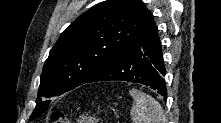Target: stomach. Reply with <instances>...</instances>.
I'll use <instances>...</instances> for the list:
<instances>
[{
  "instance_id": "1",
  "label": "stomach",
  "mask_w": 221,
  "mask_h": 123,
  "mask_svg": "<svg viewBox=\"0 0 221 123\" xmlns=\"http://www.w3.org/2000/svg\"><path fill=\"white\" fill-rule=\"evenodd\" d=\"M98 119L95 117L84 116L79 120V123H98Z\"/></svg>"
}]
</instances>
